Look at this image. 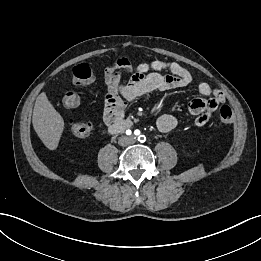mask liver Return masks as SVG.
Returning <instances> with one entry per match:
<instances>
[{"label": "liver", "instance_id": "liver-1", "mask_svg": "<svg viewBox=\"0 0 261 261\" xmlns=\"http://www.w3.org/2000/svg\"><path fill=\"white\" fill-rule=\"evenodd\" d=\"M32 124L38 137L50 150L57 148L64 129V120L42 92L35 101Z\"/></svg>", "mask_w": 261, "mask_h": 261}]
</instances>
